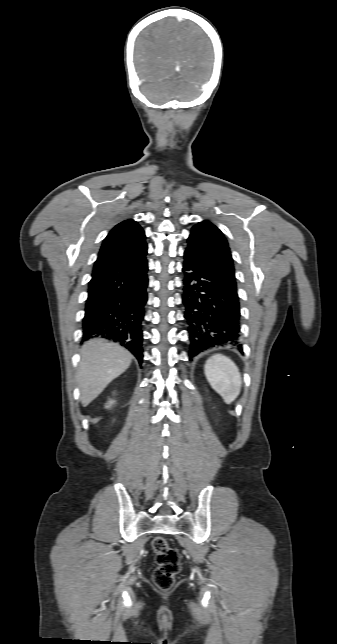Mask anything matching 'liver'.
<instances>
[{"label":"liver","instance_id":"1","mask_svg":"<svg viewBox=\"0 0 337 644\" xmlns=\"http://www.w3.org/2000/svg\"><path fill=\"white\" fill-rule=\"evenodd\" d=\"M77 372L80 400L84 407L130 366L132 355L119 344L102 339L84 343Z\"/></svg>","mask_w":337,"mask_h":644}]
</instances>
